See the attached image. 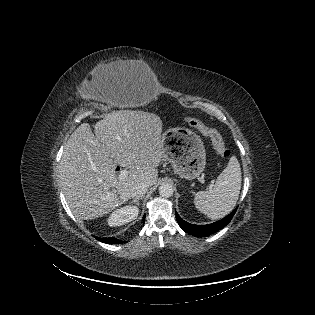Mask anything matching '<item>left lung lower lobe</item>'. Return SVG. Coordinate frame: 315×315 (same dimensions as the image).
Here are the masks:
<instances>
[{"instance_id": "obj_1", "label": "left lung lower lobe", "mask_w": 315, "mask_h": 315, "mask_svg": "<svg viewBox=\"0 0 315 315\" xmlns=\"http://www.w3.org/2000/svg\"><path fill=\"white\" fill-rule=\"evenodd\" d=\"M237 208L231 212L228 216L225 218L211 223L207 225H194L190 224L183 219L180 218V216L176 213V219L178 221L179 226L188 234L194 235L196 237H206L209 236L219 230H221L223 227H225L231 219L233 218Z\"/></svg>"}]
</instances>
